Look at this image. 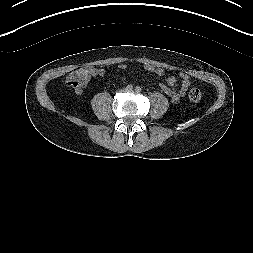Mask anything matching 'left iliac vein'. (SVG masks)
Returning <instances> with one entry per match:
<instances>
[{
  "mask_svg": "<svg viewBox=\"0 0 253 253\" xmlns=\"http://www.w3.org/2000/svg\"><path fill=\"white\" fill-rule=\"evenodd\" d=\"M129 92H133V90H128Z\"/></svg>",
  "mask_w": 253,
  "mask_h": 253,
  "instance_id": "1",
  "label": "left iliac vein"
}]
</instances>
